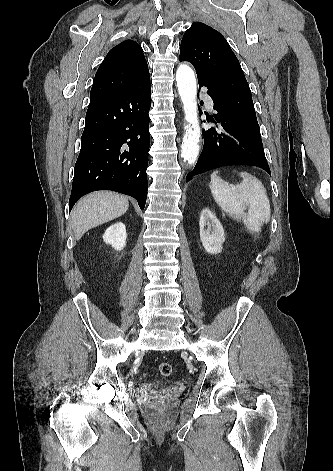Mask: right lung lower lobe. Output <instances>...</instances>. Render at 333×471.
Listing matches in <instances>:
<instances>
[{
  "instance_id": "98d812e1",
  "label": "right lung lower lobe",
  "mask_w": 333,
  "mask_h": 471,
  "mask_svg": "<svg viewBox=\"0 0 333 471\" xmlns=\"http://www.w3.org/2000/svg\"><path fill=\"white\" fill-rule=\"evenodd\" d=\"M150 107L149 76L124 93L89 105L74 169L69 210L80 197L96 190L130 195L144 209L148 188Z\"/></svg>"
}]
</instances>
